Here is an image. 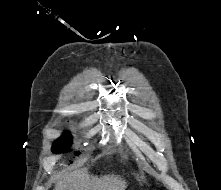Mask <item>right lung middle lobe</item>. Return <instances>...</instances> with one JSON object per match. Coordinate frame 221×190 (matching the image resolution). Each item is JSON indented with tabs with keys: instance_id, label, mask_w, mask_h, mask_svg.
Segmentation results:
<instances>
[{
	"instance_id": "obj_1",
	"label": "right lung middle lobe",
	"mask_w": 221,
	"mask_h": 190,
	"mask_svg": "<svg viewBox=\"0 0 221 190\" xmlns=\"http://www.w3.org/2000/svg\"><path fill=\"white\" fill-rule=\"evenodd\" d=\"M71 144V137L69 134L62 135L52 146V151L60 153L65 151Z\"/></svg>"
}]
</instances>
